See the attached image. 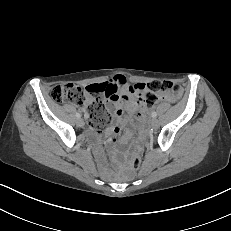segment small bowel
I'll return each mask as SVG.
<instances>
[{
    "label": "small bowel",
    "mask_w": 231,
    "mask_h": 231,
    "mask_svg": "<svg viewBox=\"0 0 231 231\" xmlns=\"http://www.w3.org/2000/svg\"><path fill=\"white\" fill-rule=\"evenodd\" d=\"M97 85L104 87L105 90L101 93V97L108 103L109 110L117 117L115 124L106 133V139L110 142H115L120 134L121 126L125 122L122 119L124 111L130 114L136 113L139 118L147 115L148 109L142 98L144 86L139 83H129L123 75H116L111 80ZM91 93L98 94V91L94 90ZM174 99L175 96L170 94L160 96L162 102H170ZM89 100H91V97L87 98V101ZM81 108L84 110L83 107ZM90 130L96 138L103 140L101 132L97 127L91 124Z\"/></svg>",
    "instance_id": "obj_1"
}]
</instances>
